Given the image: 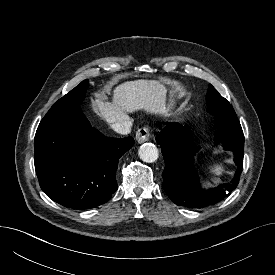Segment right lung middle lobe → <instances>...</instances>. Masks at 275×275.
Returning <instances> with one entry per match:
<instances>
[{
  "instance_id": "right-lung-middle-lobe-1",
  "label": "right lung middle lobe",
  "mask_w": 275,
  "mask_h": 275,
  "mask_svg": "<svg viewBox=\"0 0 275 275\" xmlns=\"http://www.w3.org/2000/svg\"><path fill=\"white\" fill-rule=\"evenodd\" d=\"M87 86L88 80L82 81L78 86L59 99L47 112L45 117L58 115L66 110L78 107L85 98Z\"/></svg>"
}]
</instances>
